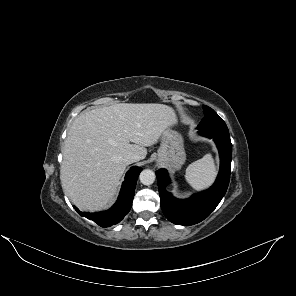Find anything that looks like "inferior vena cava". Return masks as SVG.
I'll use <instances>...</instances> for the list:
<instances>
[{
	"label": "inferior vena cava",
	"instance_id": "1",
	"mask_svg": "<svg viewBox=\"0 0 296 296\" xmlns=\"http://www.w3.org/2000/svg\"><path fill=\"white\" fill-rule=\"evenodd\" d=\"M140 160V157L139 155L137 154H134V153H127L126 155H124L123 157V161L125 164H131V163H134V162H137Z\"/></svg>",
	"mask_w": 296,
	"mask_h": 296
}]
</instances>
